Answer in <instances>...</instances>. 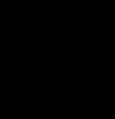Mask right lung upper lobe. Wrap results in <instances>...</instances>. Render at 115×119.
<instances>
[{
    "label": "right lung upper lobe",
    "instance_id": "1",
    "mask_svg": "<svg viewBox=\"0 0 115 119\" xmlns=\"http://www.w3.org/2000/svg\"><path fill=\"white\" fill-rule=\"evenodd\" d=\"M58 15L57 8L40 4L23 16L0 44V68L28 58L42 57L46 34Z\"/></svg>",
    "mask_w": 115,
    "mask_h": 119
}]
</instances>
